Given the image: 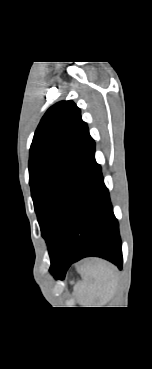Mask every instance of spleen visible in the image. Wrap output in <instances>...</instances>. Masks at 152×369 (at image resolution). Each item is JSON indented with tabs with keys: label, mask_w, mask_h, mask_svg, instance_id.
<instances>
[{
	"label": "spleen",
	"mask_w": 152,
	"mask_h": 369,
	"mask_svg": "<svg viewBox=\"0 0 152 369\" xmlns=\"http://www.w3.org/2000/svg\"><path fill=\"white\" fill-rule=\"evenodd\" d=\"M83 281L76 286L84 305L105 304L114 292L117 275L115 267L94 259L82 271Z\"/></svg>",
	"instance_id": "spleen-1"
}]
</instances>
